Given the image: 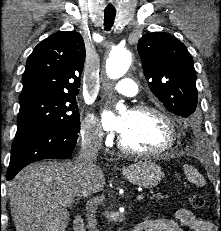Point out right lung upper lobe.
Instances as JSON below:
<instances>
[{"label":"right lung upper lobe","instance_id":"obj_1","mask_svg":"<svg viewBox=\"0 0 221 231\" xmlns=\"http://www.w3.org/2000/svg\"><path fill=\"white\" fill-rule=\"evenodd\" d=\"M85 60V45L77 32H57L40 42L28 57L19 99L75 96Z\"/></svg>","mask_w":221,"mask_h":231}]
</instances>
